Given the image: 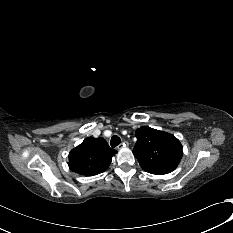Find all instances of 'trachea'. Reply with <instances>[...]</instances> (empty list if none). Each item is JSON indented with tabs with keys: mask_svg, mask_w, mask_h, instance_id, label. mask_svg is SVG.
I'll list each match as a JSON object with an SVG mask.
<instances>
[{
	"mask_svg": "<svg viewBox=\"0 0 233 233\" xmlns=\"http://www.w3.org/2000/svg\"><path fill=\"white\" fill-rule=\"evenodd\" d=\"M120 143V138L117 135H113L110 141V145L112 148H115Z\"/></svg>",
	"mask_w": 233,
	"mask_h": 233,
	"instance_id": "1",
	"label": "trachea"
}]
</instances>
